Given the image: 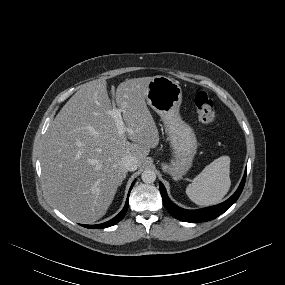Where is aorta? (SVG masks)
Segmentation results:
<instances>
[{"label": "aorta", "mask_w": 285, "mask_h": 285, "mask_svg": "<svg viewBox=\"0 0 285 285\" xmlns=\"http://www.w3.org/2000/svg\"><path fill=\"white\" fill-rule=\"evenodd\" d=\"M141 179L144 183H153L156 180V173L151 169H146L142 172Z\"/></svg>", "instance_id": "aorta-1"}]
</instances>
